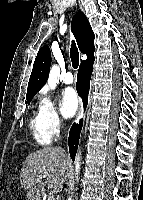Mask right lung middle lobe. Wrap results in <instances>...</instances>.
Segmentation results:
<instances>
[{
    "label": "right lung middle lobe",
    "instance_id": "obj_1",
    "mask_svg": "<svg viewBox=\"0 0 143 200\" xmlns=\"http://www.w3.org/2000/svg\"><path fill=\"white\" fill-rule=\"evenodd\" d=\"M32 99H30V100H27V102H28V104H30V101H31Z\"/></svg>",
    "mask_w": 143,
    "mask_h": 200
}]
</instances>
